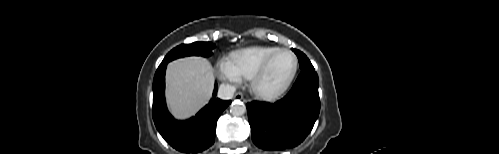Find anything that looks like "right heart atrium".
<instances>
[{"label": "right heart atrium", "mask_w": 499, "mask_h": 154, "mask_svg": "<svg viewBox=\"0 0 499 154\" xmlns=\"http://www.w3.org/2000/svg\"><path fill=\"white\" fill-rule=\"evenodd\" d=\"M217 72L219 78L222 80L232 82H239L241 80L240 75L237 73L229 58H222L219 60L217 64Z\"/></svg>", "instance_id": "d8ad5b80"}]
</instances>
